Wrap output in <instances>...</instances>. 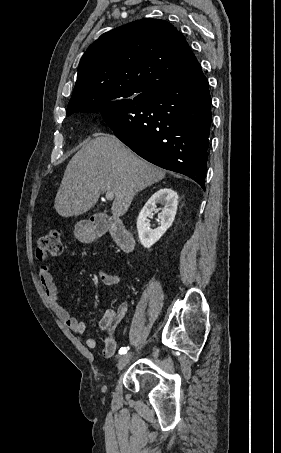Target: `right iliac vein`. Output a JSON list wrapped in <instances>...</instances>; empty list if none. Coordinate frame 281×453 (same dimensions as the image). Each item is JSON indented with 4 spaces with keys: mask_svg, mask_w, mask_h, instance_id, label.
Instances as JSON below:
<instances>
[{
    "mask_svg": "<svg viewBox=\"0 0 281 453\" xmlns=\"http://www.w3.org/2000/svg\"><path fill=\"white\" fill-rule=\"evenodd\" d=\"M130 354L128 353L127 355H124L122 356V358L119 359V363H118V366H119V370L121 371L123 368H126V364L127 362L129 361L130 359Z\"/></svg>",
    "mask_w": 281,
    "mask_h": 453,
    "instance_id": "63e3f726",
    "label": "right iliac vein"
}]
</instances>
